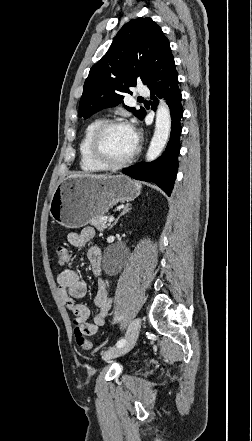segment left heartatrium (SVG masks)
Here are the masks:
<instances>
[{"instance_id": "1", "label": "left heart atrium", "mask_w": 252, "mask_h": 441, "mask_svg": "<svg viewBox=\"0 0 252 441\" xmlns=\"http://www.w3.org/2000/svg\"><path fill=\"white\" fill-rule=\"evenodd\" d=\"M128 127L130 129V134H131L132 141L136 145L137 141H138V135H137L134 127H132V126H128Z\"/></svg>"}]
</instances>
